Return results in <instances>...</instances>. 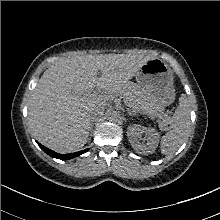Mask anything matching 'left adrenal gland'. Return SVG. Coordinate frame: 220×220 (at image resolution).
Returning <instances> with one entry per match:
<instances>
[{"instance_id":"left-adrenal-gland-1","label":"left adrenal gland","mask_w":220,"mask_h":220,"mask_svg":"<svg viewBox=\"0 0 220 220\" xmlns=\"http://www.w3.org/2000/svg\"><path fill=\"white\" fill-rule=\"evenodd\" d=\"M128 115H130V116H135V115H137L136 113H133V112H131V111H128Z\"/></svg>"}]
</instances>
